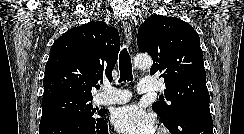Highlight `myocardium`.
<instances>
[{
    "label": "myocardium",
    "instance_id": "f54148a6",
    "mask_svg": "<svg viewBox=\"0 0 244 134\" xmlns=\"http://www.w3.org/2000/svg\"><path fill=\"white\" fill-rule=\"evenodd\" d=\"M157 134H168V132L163 128H159Z\"/></svg>",
    "mask_w": 244,
    "mask_h": 134
}]
</instances>
